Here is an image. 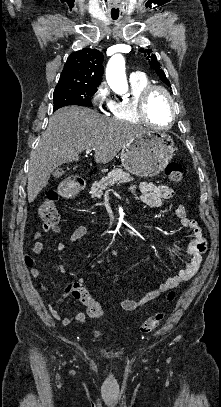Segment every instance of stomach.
Wrapping results in <instances>:
<instances>
[{"mask_svg": "<svg viewBox=\"0 0 221 407\" xmlns=\"http://www.w3.org/2000/svg\"><path fill=\"white\" fill-rule=\"evenodd\" d=\"M174 142L166 133L143 131L131 139L121 151L122 166L139 177L159 174L174 155ZM69 194L74 195V191Z\"/></svg>", "mask_w": 221, "mask_h": 407, "instance_id": "1", "label": "stomach"}]
</instances>
